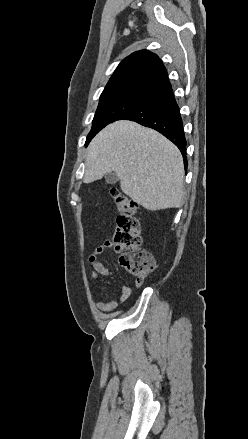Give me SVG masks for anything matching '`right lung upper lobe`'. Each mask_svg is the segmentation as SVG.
<instances>
[{
	"label": "right lung upper lobe",
	"instance_id": "right-lung-upper-lobe-1",
	"mask_svg": "<svg viewBox=\"0 0 248 439\" xmlns=\"http://www.w3.org/2000/svg\"><path fill=\"white\" fill-rule=\"evenodd\" d=\"M169 87L163 62L156 54L140 50L120 62L100 97L124 92L153 97Z\"/></svg>",
	"mask_w": 248,
	"mask_h": 439
}]
</instances>
